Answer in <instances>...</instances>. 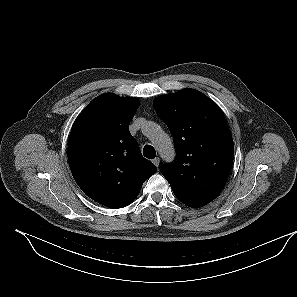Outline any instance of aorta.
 Segmentation results:
<instances>
[{
    "label": "aorta",
    "instance_id": "obj_1",
    "mask_svg": "<svg viewBox=\"0 0 297 297\" xmlns=\"http://www.w3.org/2000/svg\"><path fill=\"white\" fill-rule=\"evenodd\" d=\"M144 131L152 138L154 145L164 158L170 159L174 156V146L172 140L158 124L154 122H147L144 126Z\"/></svg>",
    "mask_w": 297,
    "mask_h": 297
}]
</instances>
